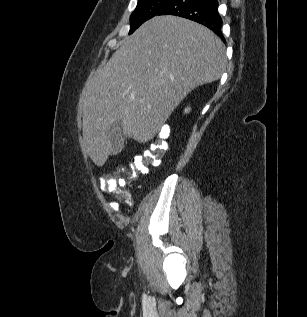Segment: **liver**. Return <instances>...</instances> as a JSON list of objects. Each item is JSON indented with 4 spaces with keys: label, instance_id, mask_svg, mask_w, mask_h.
Listing matches in <instances>:
<instances>
[{
    "label": "liver",
    "instance_id": "liver-1",
    "mask_svg": "<svg viewBox=\"0 0 307 317\" xmlns=\"http://www.w3.org/2000/svg\"><path fill=\"white\" fill-rule=\"evenodd\" d=\"M227 65L222 41L208 28L176 16H156L126 37L86 82L79 105L92 161L111 153L108 131L122 122L126 137L151 140L194 88L218 80Z\"/></svg>",
    "mask_w": 307,
    "mask_h": 317
}]
</instances>
